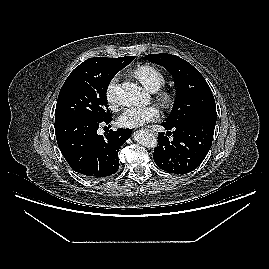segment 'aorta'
I'll return each mask as SVG.
<instances>
[{"mask_svg":"<svg viewBox=\"0 0 269 269\" xmlns=\"http://www.w3.org/2000/svg\"><path fill=\"white\" fill-rule=\"evenodd\" d=\"M114 94L123 106H135L144 97L143 89L135 83L124 82L114 89ZM134 140L147 148H155L158 145L157 138L148 130H138L134 133Z\"/></svg>","mask_w":269,"mask_h":269,"instance_id":"obj_1","label":"aorta"}]
</instances>
